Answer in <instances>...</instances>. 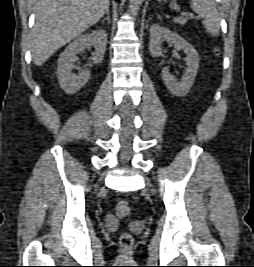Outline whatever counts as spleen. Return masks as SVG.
I'll list each match as a JSON object with an SVG mask.
<instances>
[{
    "mask_svg": "<svg viewBox=\"0 0 254 267\" xmlns=\"http://www.w3.org/2000/svg\"><path fill=\"white\" fill-rule=\"evenodd\" d=\"M192 10L203 20L205 29L213 36H217L220 30V17L214 0H191Z\"/></svg>",
    "mask_w": 254,
    "mask_h": 267,
    "instance_id": "1",
    "label": "spleen"
}]
</instances>
